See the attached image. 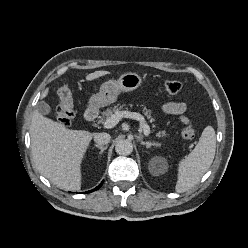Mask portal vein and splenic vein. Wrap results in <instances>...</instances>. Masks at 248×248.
<instances>
[{
    "instance_id": "18ae733b",
    "label": "portal vein and splenic vein",
    "mask_w": 248,
    "mask_h": 248,
    "mask_svg": "<svg viewBox=\"0 0 248 248\" xmlns=\"http://www.w3.org/2000/svg\"><path fill=\"white\" fill-rule=\"evenodd\" d=\"M122 118H129L138 120L140 122V130L143 131L144 135H149L150 127L145 123L144 117L136 112L130 111H117L110 118L104 122V128L110 129L115 127Z\"/></svg>"
}]
</instances>
